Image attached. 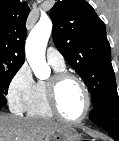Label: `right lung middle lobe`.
<instances>
[{"label": "right lung middle lobe", "instance_id": "1", "mask_svg": "<svg viewBox=\"0 0 119 141\" xmlns=\"http://www.w3.org/2000/svg\"><path fill=\"white\" fill-rule=\"evenodd\" d=\"M19 68H0V108L6 104L5 95L9 84Z\"/></svg>", "mask_w": 119, "mask_h": 141}]
</instances>
